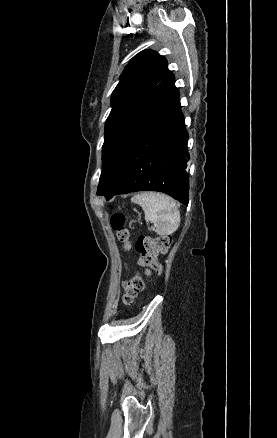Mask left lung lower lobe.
<instances>
[{"label": "left lung lower lobe", "mask_w": 277, "mask_h": 438, "mask_svg": "<svg viewBox=\"0 0 277 438\" xmlns=\"http://www.w3.org/2000/svg\"><path fill=\"white\" fill-rule=\"evenodd\" d=\"M188 134L182 113L170 103L149 97L142 104L122 169L101 195L151 190L166 193L188 205L186 171Z\"/></svg>", "instance_id": "obj_1"}]
</instances>
